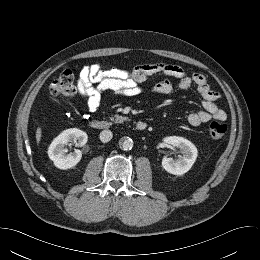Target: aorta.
I'll return each instance as SVG.
<instances>
[{"mask_svg": "<svg viewBox=\"0 0 260 260\" xmlns=\"http://www.w3.org/2000/svg\"><path fill=\"white\" fill-rule=\"evenodd\" d=\"M119 146L124 151L131 150L133 147V140L129 137H124L119 141Z\"/></svg>", "mask_w": 260, "mask_h": 260, "instance_id": "762f6f07", "label": "aorta"}]
</instances>
